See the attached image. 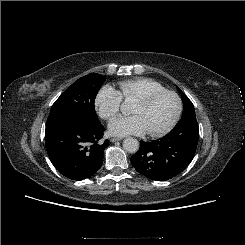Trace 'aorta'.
I'll return each instance as SVG.
<instances>
[{
    "label": "aorta",
    "mask_w": 245,
    "mask_h": 245,
    "mask_svg": "<svg viewBox=\"0 0 245 245\" xmlns=\"http://www.w3.org/2000/svg\"><path fill=\"white\" fill-rule=\"evenodd\" d=\"M123 148L128 153H136L139 149V142L133 137H127L123 141Z\"/></svg>",
    "instance_id": "obj_1"
}]
</instances>
